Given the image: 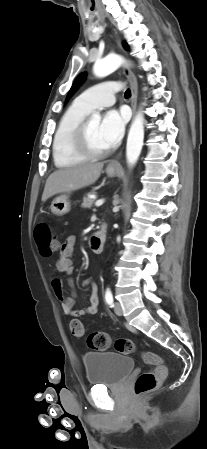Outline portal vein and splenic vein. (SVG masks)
<instances>
[{
  "mask_svg": "<svg viewBox=\"0 0 207 449\" xmlns=\"http://www.w3.org/2000/svg\"><path fill=\"white\" fill-rule=\"evenodd\" d=\"M103 203H104V199H98V200L95 202V206L99 207V206H101Z\"/></svg>",
  "mask_w": 207,
  "mask_h": 449,
  "instance_id": "portal-vein-and-splenic-vein-1",
  "label": "portal vein and splenic vein"
}]
</instances>
